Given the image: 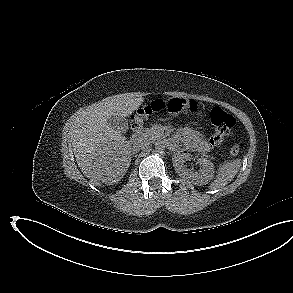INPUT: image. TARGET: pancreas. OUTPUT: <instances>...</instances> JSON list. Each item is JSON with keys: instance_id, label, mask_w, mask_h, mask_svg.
Returning <instances> with one entry per match:
<instances>
[{"instance_id": "pancreas-1", "label": "pancreas", "mask_w": 293, "mask_h": 293, "mask_svg": "<svg viewBox=\"0 0 293 293\" xmlns=\"http://www.w3.org/2000/svg\"><path fill=\"white\" fill-rule=\"evenodd\" d=\"M143 137L148 140H156L165 137L164 129L161 125H153L151 128L143 130Z\"/></svg>"}]
</instances>
